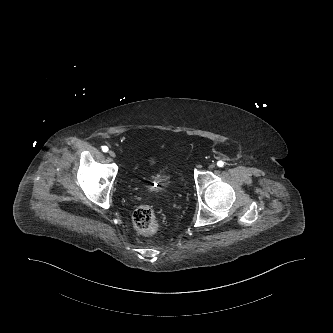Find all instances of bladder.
I'll use <instances>...</instances> for the list:
<instances>
[{"mask_svg":"<svg viewBox=\"0 0 333 333\" xmlns=\"http://www.w3.org/2000/svg\"><path fill=\"white\" fill-rule=\"evenodd\" d=\"M161 183H162V185L165 186V187H170V186H171V185H170V181L167 180V179H163Z\"/></svg>","mask_w":333,"mask_h":333,"instance_id":"bladder-1","label":"bladder"}]
</instances>
